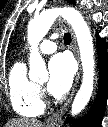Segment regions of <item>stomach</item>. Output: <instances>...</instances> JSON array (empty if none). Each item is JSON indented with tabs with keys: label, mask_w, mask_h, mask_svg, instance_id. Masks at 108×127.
Instances as JSON below:
<instances>
[{
	"label": "stomach",
	"mask_w": 108,
	"mask_h": 127,
	"mask_svg": "<svg viewBox=\"0 0 108 127\" xmlns=\"http://www.w3.org/2000/svg\"><path fill=\"white\" fill-rule=\"evenodd\" d=\"M45 127H58V125H46Z\"/></svg>",
	"instance_id": "0dacf381"
}]
</instances>
